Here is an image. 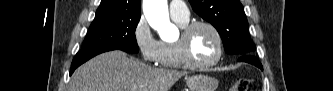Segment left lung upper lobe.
Returning a JSON list of instances; mask_svg holds the SVG:
<instances>
[{
    "instance_id": "obj_1",
    "label": "left lung upper lobe",
    "mask_w": 333,
    "mask_h": 91,
    "mask_svg": "<svg viewBox=\"0 0 333 91\" xmlns=\"http://www.w3.org/2000/svg\"><path fill=\"white\" fill-rule=\"evenodd\" d=\"M193 10L219 32L224 49L230 55L253 54L255 45L239 0H189Z\"/></svg>"
}]
</instances>
